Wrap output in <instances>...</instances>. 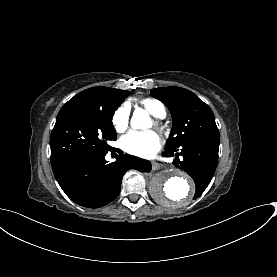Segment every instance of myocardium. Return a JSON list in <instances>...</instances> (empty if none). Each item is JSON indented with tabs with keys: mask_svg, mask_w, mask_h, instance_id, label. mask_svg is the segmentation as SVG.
Instances as JSON below:
<instances>
[{
	"mask_svg": "<svg viewBox=\"0 0 277 277\" xmlns=\"http://www.w3.org/2000/svg\"><path fill=\"white\" fill-rule=\"evenodd\" d=\"M153 126H154V128H156V129H160V124H159V122H158L157 120H154V121H153Z\"/></svg>",
	"mask_w": 277,
	"mask_h": 277,
	"instance_id": "obj_1",
	"label": "myocardium"
}]
</instances>
